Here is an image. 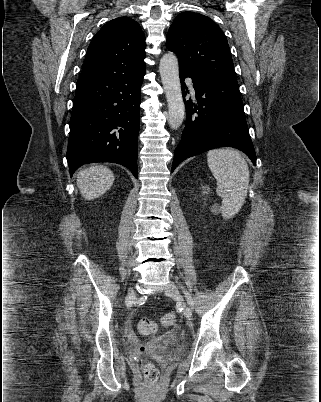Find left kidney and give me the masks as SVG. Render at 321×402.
I'll use <instances>...</instances> for the list:
<instances>
[{
    "label": "left kidney",
    "instance_id": "left-kidney-1",
    "mask_svg": "<svg viewBox=\"0 0 321 402\" xmlns=\"http://www.w3.org/2000/svg\"><path fill=\"white\" fill-rule=\"evenodd\" d=\"M209 192V188H207V191H205V193H208Z\"/></svg>",
    "mask_w": 321,
    "mask_h": 402
}]
</instances>
